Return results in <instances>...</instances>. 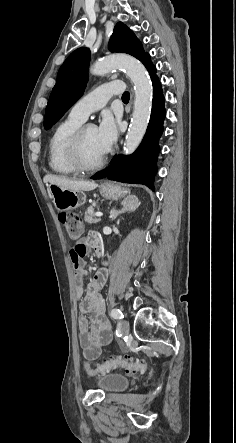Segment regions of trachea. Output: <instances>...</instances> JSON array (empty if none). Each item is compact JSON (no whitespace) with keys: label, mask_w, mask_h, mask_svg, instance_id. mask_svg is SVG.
<instances>
[{"label":"trachea","mask_w":236,"mask_h":443,"mask_svg":"<svg viewBox=\"0 0 236 443\" xmlns=\"http://www.w3.org/2000/svg\"><path fill=\"white\" fill-rule=\"evenodd\" d=\"M129 98H130V94H129V92H124L123 93V95H122V100L124 101V102H128L129 101Z\"/></svg>","instance_id":"3493384b"}]
</instances>
